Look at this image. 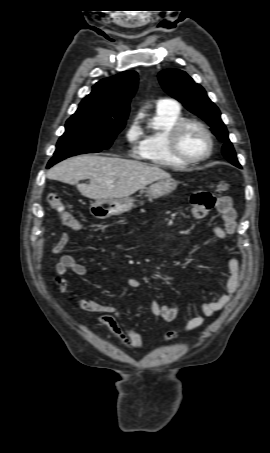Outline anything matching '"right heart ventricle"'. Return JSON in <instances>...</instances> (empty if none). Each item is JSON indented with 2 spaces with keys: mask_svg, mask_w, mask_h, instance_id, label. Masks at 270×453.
Masks as SVG:
<instances>
[{
  "mask_svg": "<svg viewBox=\"0 0 270 453\" xmlns=\"http://www.w3.org/2000/svg\"><path fill=\"white\" fill-rule=\"evenodd\" d=\"M182 119L184 118L179 106L157 108L147 129L142 132V140L137 151L138 157L156 166L185 167L187 164L173 157L167 143L170 130Z\"/></svg>",
  "mask_w": 270,
  "mask_h": 453,
  "instance_id": "right-heart-ventricle-1",
  "label": "right heart ventricle"
}]
</instances>
